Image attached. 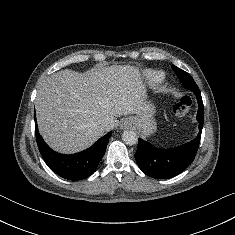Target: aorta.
<instances>
[{
	"mask_svg": "<svg viewBox=\"0 0 235 235\" xmlns=\"http://www.w3.org/2000/svg\"><path fill=\"white\" fill-rule=\"evenodd\" d=\"M122 140L126 145H134L138 141V136L133 130H126L122 134Z\"/></svg>",
	"mask_w": 235,
	"mask_h": 235,
	"instance_id": "762f6f07",
	"label": "aorta"
}]
</instances>
